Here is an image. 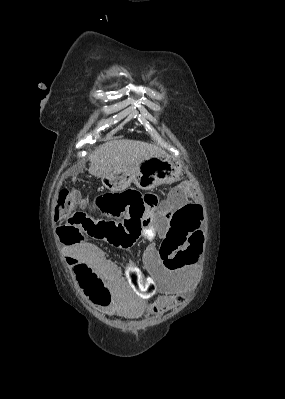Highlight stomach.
Returning a JSON list of instances; mask_svg holds the SVG:
<instances>
[{
    "label": "stomach",
    "instance_id": "stomach-1",
    "mask_svg": "<svg viewBox=\"0 0 285 399\" xmlns=\"http://www.w3.org/2000/svg\"><path fill=\"white\" fill-rule=\"evenodd\" d=\"M182 167L168 155H153L130 168L112 170L101 177L102 185L111 192H121L134 183L142 190L173 183Z\"/></svg>",
    "mask_w": 285,
    "mask_h": 399
}]
</instances>
